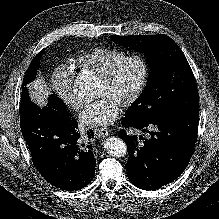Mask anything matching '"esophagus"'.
<instances>
[{"label":"esophagus","mask_w":219,"mask_h":219,"mask_svg":"<svg viewBox=\"0 0 219 219\" xmlns=\"http://www.w3.org/2000/svg\"><path fill=\"white\" fill-rule=\"evenodd\" d=\"M95 134L99 137L104 138L109 135V130L107 128H97L95 130Z\"/></svg>","instance_id":"34e87169"}]
</instances>
